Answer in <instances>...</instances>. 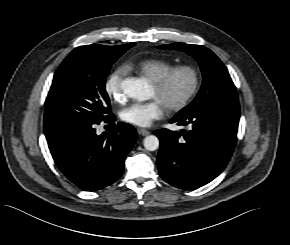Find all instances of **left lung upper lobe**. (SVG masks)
Returning a JSON list of instances; mask_svg holds the SVG:
<instances>
[{"instance_id": "obj_1", "label": "left lung upper lobe", "mask_w": 290, "mask_h": 245, "mask_svg": "<svg viewBox=\"0 0 290 245\" xmlns=\"http://www.w3.org/2000/svg\"><path fill=\"white\" fill-rule=\"evenodd\" d=\"M159 49L180 50L194 57L202 71L203 83L197 96L176 116L193 110L213 108L230 115H240L236 87L221 60L208 48L201 45L172 43L158 46Z\"/></svg>"}]
</instances>
